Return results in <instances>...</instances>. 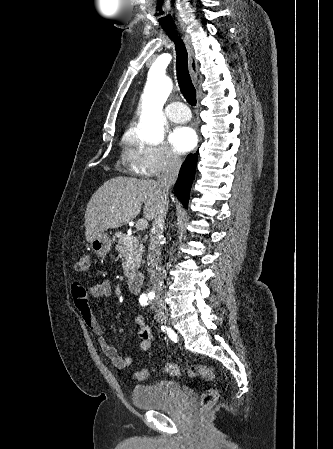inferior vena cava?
<instances>
[{
	"mask_svg": "<svg viewBox=\"0 0 333 449\" xmlns=\"http://www.w3.org/2000/svg\"><path fill=\"white\" fill-rule=\"evenodd\" d=\"M181 164L182 161L177 155L170 154L165 168L158 177V183L162 190V199L158 205L153 221L147 255L150 282L152 289L157 295L162 294L163 291L161 241L163 237L164 220L168 209L169 188L176 182Z\"/></svg>",
	"mask_w": 333,
	"mask_h": 449,
	"instance_id": "inferior-vena-cava-1",
	"label": "inferior vena cava"
}]
</instances>
